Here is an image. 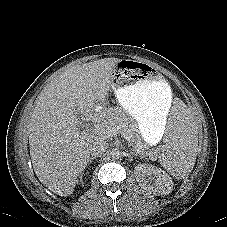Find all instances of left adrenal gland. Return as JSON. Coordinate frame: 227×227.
Instances as JSON below:
<instances>
[{"mask_svg": "<svg viewBox=\"0 0 227 227\" xmlns=\"http://www.w3.org/2000/svg\"><path fill=\"white\" fill-rule=\"evenodd\" d=\"M132 156H137L138 154L135 152H131Z\"/></svg>", "mask_w": 227, "mask_h": 227, "instance_id": "1", "label": "left adrenal gland"}]
</instances>
